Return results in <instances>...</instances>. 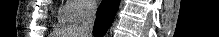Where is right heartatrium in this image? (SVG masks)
I'll use <instances>...</instances> for the list:
<instances>
[{
  "mask_svg": "<svg viewBox=\"0 0 219 37\" xmlns=\"http://www.w3.org/2000/svg\"><path fill=\"white\" fill-rule=\"evenodd\" d=\"M94 1L68 0L61 11V16L65 22H80L93 15L95 10Z\"/></svg>",
  "mask_w": 219,
  "mask_h": 37,
  "instance_id": "right-heart-atrium-1",
  "label": "right heart atrium"
}]
</instances>
